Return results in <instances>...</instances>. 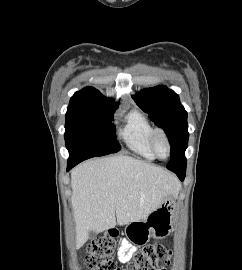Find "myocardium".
I'll return each instance as SVG.
<instances>
[{
  "mask_svg": "<svg viewBox=\"0 0 242 270\" xmlns=\"http://www.w3.org/2000/svg\"><path fill=\"white\" fill-rule=\"evenodd\" d=\"M159 138H162L166 142V145H167L168 153L165 157L160 156L157 152L156 142ZM150 147L154 156L160 160L167 159L171 155L172 146H171L170 139L168 135L166 134V132L162 129H156L153 131L151 139H150Z\"/></svg>",
  "mask_w": 242,
  "mask_h": 270,
  "instance_id": "1",
  "label": "myocardium"
}]
</instances>
